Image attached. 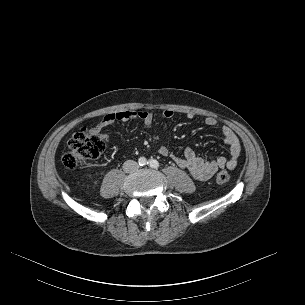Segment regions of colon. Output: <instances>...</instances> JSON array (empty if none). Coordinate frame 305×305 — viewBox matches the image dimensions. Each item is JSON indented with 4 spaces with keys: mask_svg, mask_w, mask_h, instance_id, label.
Segmentation results:
<instances>
[{
    "mask_svg": "<svg viewBox=\"0 0 305 305\" xmlns=\"http://www.w3.org/2000/svg\"><path fill=\"white\" fill-rule=\"evenodd\" d=\"M108 142V136L92 129H82L68 141V150L62 156V163L68 169H76L86 165L89 161L97 159L103 152ZM227 171L217 173L215 180L218 184L229 181Z\"/></svg>",
    "mask_w": 305,
    "mask_h": 305,
    "instance_id": "colon-1",
    "label": "colon"
}]
</instances>
